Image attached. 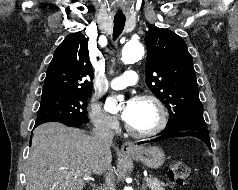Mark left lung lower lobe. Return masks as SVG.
Wrapping results in <instances>:
<instances>
[{
    "instance_id": "left-lung-lower-lobe-1",
    "label": "left lung lower lobe",
    "mask_w": 238,
    "mask_h": 190,
    "mask_svg": "<svg viewBox=\"0 0 238 190\" xmlns=\"http://www.w3.org/2000/svg\"><path fill=\"white\" fill-rule=\"evenodd\" d=\"M184 135L195 136L202 140L206 145H211L207 125L204 119H186L166 126V128L159 133V137L150 140L149 142H155ZM143 143L146 142H139L138 144Z\"/></svg>"
}]
</instances>
